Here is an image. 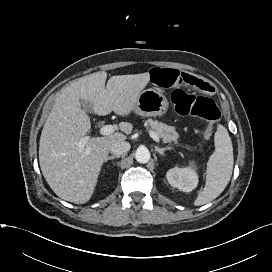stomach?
I'll return each mask as SVG.
<instances>
[{
	"label": "stomach",
	"instance_id": "1",
	"mask_svg": "<svg viewBox=\"0 0 272 272\" xmlns=\"http://www.w3.org/2000/svg\"><path fill=\"white\" fill-rule=\"evenodd\" d=\"M168 107L166 96L159 90L150 88L139 93L134 111L141 116L155 117L165 114Z\"/></svg>",
	"mask_w": 272,
	"mask_h": 272
}]
</instances>
